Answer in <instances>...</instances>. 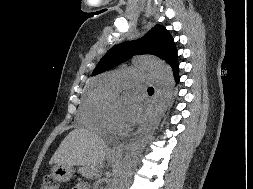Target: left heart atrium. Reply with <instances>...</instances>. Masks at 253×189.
Wrapping results in <instances>:
<instances>
[{
	"mask_svg": "<svg viewBox=\"0 0 253 189\" xmlns=\"http://www.w3.org/2000/svg\"><path fill=\"white\" fill-rule=\"evenodd\" d=\"M143 106L140 99L134 95L129 96L126 106L120 114L119 123L121 128H130L141 117Z\"/></svg>",
	"mask_w": 253,
	"mask_h": 189,
	"instance_id": "obj_1",
	"label": "left heart atrium"
}]
</instances>
